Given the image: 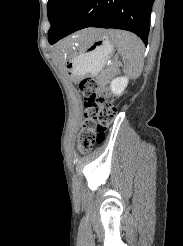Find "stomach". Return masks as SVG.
Listing matches in <instances>:
<instances>
[{"mask_svg":"<svg viewBox=\"0 0 183 246\" xmlns=\"http://www.w3.org/2000/svg\"><path fill=\"white\" fill-rule=\"evenodd\" d=\"M105 31L95 40L76 47L68 56L67 72L73 79L99 73L113 53V43Z\"/></svg>","mask_w":183,"mask_h":246,"instance_id":"0dacf381","label":"stomach"}]
</instances>
